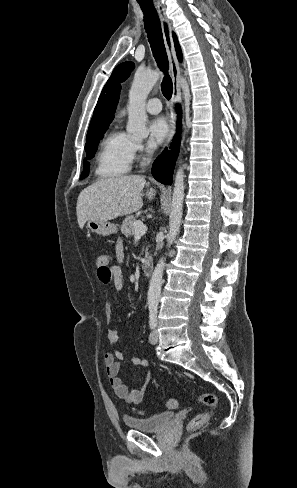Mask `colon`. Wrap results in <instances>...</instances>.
Listing matches in <instances>:
<instances>
[{"instance_id": "5ec220e1", "label": "colon", "mask_w": 297, "mask_h": 488, "mask_svg": "<svg viewBox=\"0 0 297 488\" xmlns=\"http://www.w3.org/2000/svg\"><path fill=\"white\" fill-rule=\"evenodd\" d=\"M108 263V255H100L96 260L98 270H100L101 273H105L107 271ZM198 401L204 404L207 409L190 420L188 427L191 430H196L202 427L213 416L218 405L217 397L212 393L200 395L198 397ZM166 406L168 409H175L178 406V402L172 399L166 403Z\"/></svg>"}]
</instances>
